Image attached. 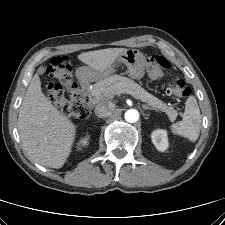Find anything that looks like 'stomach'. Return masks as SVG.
I'll return each instance as SVG.
<instances>
[{
	"label": "stomach",
	"mask_w": 225,
	"mask_h": 225,
	"mask_svg": "<svg viewBox=\"0 0 225 225\" xmlns=\"http://www.w3.org/2000/svg\"><path fill=\"white\" fill-rule=\"evenodd\" d=\"M117 64H124L127 67L129 75L137 80L143 78L145 74L146 59L142 52L136 49H127L116 60ZM114 66L110 67L104 72L96 71L91 67H85L83 70L86 72L88 78H97L111 73Z\"/></svg>",
	"instance_id": "stomach-1"
}]
</instances>
